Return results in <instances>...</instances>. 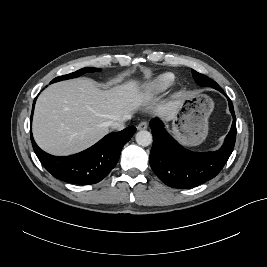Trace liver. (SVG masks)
Segmentation results:
<instances>
[{
  "label": "liver",
  "instance_id": "obj_1",
  "mask_svg": "<svg viewBox=\"0 0 267 267\" xmlns=\"http://www.w3.org/2000/svg\"><path fill=\"white\" fill-rule=\"evenodd\" d=\"M183 97L178 93L156 104L158 99L135 80L105 91L87 78L55 83L37 99L33 136L44 151L71 155L104 137L110 121L131 117L139 109H152L160 118L172 120Z\"/></svg>",
  "mask_w": 267,
  "mask_h": 267
}]
</instances>
